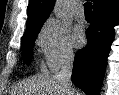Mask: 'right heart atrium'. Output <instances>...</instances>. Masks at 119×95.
Masks as SVG:
<instances>
[{"instance_id": "d8ad5b80", "label": "right heart atrium", "mask_w": 119, "mask_h": 95, "mask_svg": "<svg viewBox=\"0 0 119 95\" xmlns=\"http://www.w3.org/2000/svg\"><path fill=\"white\" fill-rule=\"evenodd\" d=\"M36 42L42 51L46 66L52 71L58 70L74 58L69 29L56 19H48L42 25Z\"/></svg>"}]
</instances>
